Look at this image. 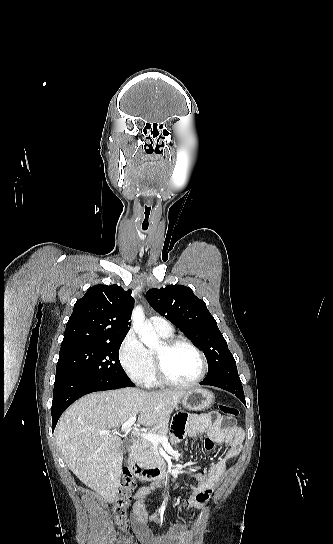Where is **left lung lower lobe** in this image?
<instances>
[{
    "instance_id": "left-lung-lower-lobe-1",
    "label": "left lung lower lobe",
    "mask_w": 333,
    "mask_h": 544,
    "mask_svg": "<svg viewBox=\"0 0 333 544\" xmlns=\"http://www.w3.org/2000/svg\"><path fill=\"white\" fill-rule=\"evenodd\" d=\"M200 384L215 386V387H218V388H222V389H224L226 391H229L232 394H234L235 396H237L246 405L244 392H243V387H242V384L240 382V379L222 378V379H216V380H212V381H204L203 380Z\"/></svg>"
}]
</instances>
